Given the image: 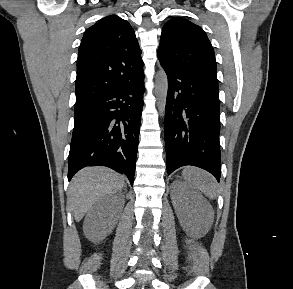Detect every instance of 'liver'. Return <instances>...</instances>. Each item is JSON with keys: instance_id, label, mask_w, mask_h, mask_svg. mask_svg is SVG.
I'll list each match as a JSON object with an SVG mask.
<instances>
[{"instance_id": "liver-1", "label": "liver", "mask_w": 293, "mask_h": 289, "mask_svg": "<svg viewBox=\"0 0 293 289\" xmlns=\"http://www.w3.org/2000/svg\"><path fill=\"white\" fill-rule=\"evenodd\" d=\"M124 186V177L109 168L86 167L80 170L68 189V204L75 220L79 222L98 200Z\"/></svg>"}]
</instances>
